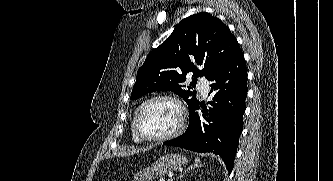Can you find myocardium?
Wrapping results in <instances>:
<instances>
[{
	"label": "myocardium",
	"instance_id": "f54148a6",
	"mask_svg": "<svg viewBox=\"0 0 333 181\" xmlns=\"http://www.w3.org/2000/svg\"><path fill=\"white\" fill-rule=\"evenodd\" d=\"M157 100H167V101H171L173 102L179 110V123L177 125V127L172 130L171 132L161 135V136H149L146 135L140 128L139 126V119L140 116L144 110V108ZM185 124H186V109L185 106L183 105V103L181 102V100L173 95H169V94H158V95H154L150 98H148L147 100H145L137 109L136 114L134 116L133 119V129L135 131V133L142 139V140H146V141H152V142H163V141H168L171 140L175 137H177L179 134L182 133V131L185 128Z\"/></svg>",
	"mask_w": 333,
	"mask_h": 181
}]
</instances>
